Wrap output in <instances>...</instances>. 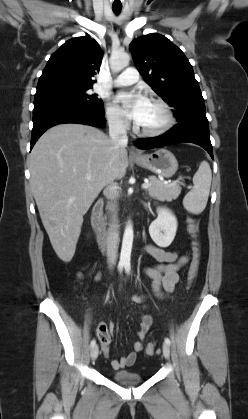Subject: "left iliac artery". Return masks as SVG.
<instances>
[{"mask_svg":"<svg viewBox=\"0 0 248 419\" xmlns=\"http://www.w3.org/2000/svg\"><path fill=\"white\" fill-rule=\"evenodd\" d=\"M125 270L129 274L130 273V265H126L125 266ZM165 343L168 344V345H170L171 342H170V340L168 338H165Z\"/></svg>","mask_w":248,"mask_h":419,"instance_id":"obj_1","label":"left iliac artery"}]
</instances>
